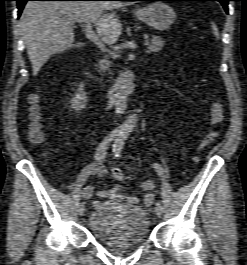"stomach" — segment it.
I'll return each instance as SVG.
<instances>
[{"mask_svg":"<svg viewBox=\"0 0 247 265\" xmlns=\"http://www.w3.org/2000/svg\"><path fill=\"white\" fill-rule=\"evenodd\" d=\"M137 17L156 30H166L176 19L175 11L167 4L155 2L136 12Z\"/></svg>","mask_w":247,"mask_h":265,"instance_id":"obj_1","label":"stomach"}]
</instances>
